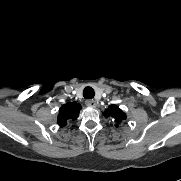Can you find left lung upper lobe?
Listing matches in <instances>:
<instances>
[{
	"label": "left lung upper lobe",
	"instance_id": "obj_1",
	"mask_svg": "<svg viewBox=\"0 0 181 181\" xmlns=\"http://www.w3.org/2000/svg\"><path fill=\"white\" fill-rule=\"evenodd\" d=\"M103 115L113 118L116 123H120L126 119V114L117 105H110Z\"/></svg>",
	"mask_w": 181,
	"mask_h": 181
}]
</instances>
